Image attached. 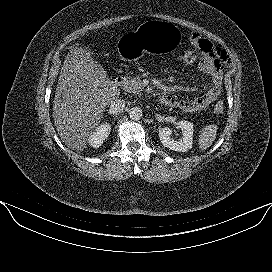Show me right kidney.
<instances>
[{"instance_id": "obj_1", "label": "right kidney", "mask_w": 272, "mask_h": 272, "mask_svg": "<svg viewBox=\"0 0 272 272\" xmlns=\"http://www.w3.org/2000/svg\"><path fill=\"white\" fill-rule=\"evenodd\" d=\"M111 125L109 123H104L99 125L95 131L89 137V144L93 148H98L103 144L110 134Z\"/></svg>"}]
</instances>
